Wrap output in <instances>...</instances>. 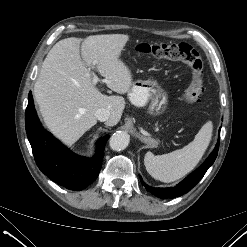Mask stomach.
Segmentation results:
<instances>
[{
    "label": "stomach",
    "instance_id": "1",
    "mask_svg": "<svg viewBox=\"0 0 247 247\" xmlns=\"http://www.w3.org/2000/svg\"><path fill=\"white\" fill-rule=\"evenodd\" d=\"M130 102L138 107L149 104L150 115L162 114L168 105V95L154 79L137 80L128 91Z\"/></svg>",
    "mask_w": 247,
    "mask_h": 247
}]
</instances>
